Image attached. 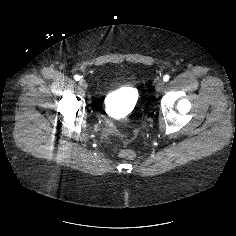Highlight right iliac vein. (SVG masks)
Wrapping results in <instances>:
<instances>
[{
  "label": "right iliac vein",
  "mask_w": 236,
  "mask_h": 236,
  "mask_svg": "<svg viewBox=\"0 0 236 236\" xmlns=\"http://www.w3.org/2000/svg\"><path fill=\"white\" fill-rule=\"evenodd\" d=\"M79 85H80L82 88H84V89H86L87 86H88L87 82H86L84 79H81V80L79 81Z\"/></svg>",
  "instance_id": "right-iliac-vein-1"
}]
</instances>
